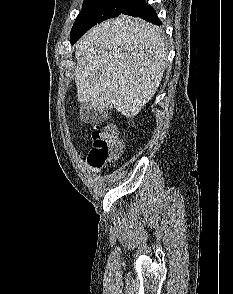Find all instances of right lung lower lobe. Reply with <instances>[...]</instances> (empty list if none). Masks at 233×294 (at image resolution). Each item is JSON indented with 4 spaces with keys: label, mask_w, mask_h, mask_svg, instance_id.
<instances>
[{
    "label": "right lung lower lobe",
    "mask_w": 233,
    "mask_h": 294,
    "mask_svg": "<svg viewBox=\"0 0 233 294\" xmlns=\"http://www.w3.org/2000/svg\"><path fill=\"white\" fill-rule=\"evenodd\" d=\"M121 14L140 17L156 25L162 24L156 15V11L153 9V7L148 5L145 0H130ZM80 37L71 39V43H75Z\"/></svg>",
    "instance_id": "1"
}]
</instances>
